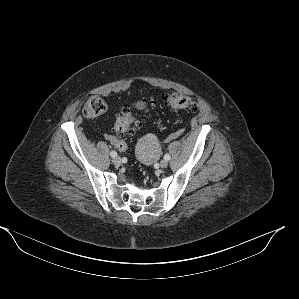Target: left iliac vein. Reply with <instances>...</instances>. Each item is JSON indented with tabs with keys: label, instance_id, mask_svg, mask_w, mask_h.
Segmentation results:
<instances>
[{
	"label": "left iliac vein",
	"instance_id": "1",
	"mask_svg": "<svg viewBox=\"0 0 299 299\" xmlns=\"http://www.w3.org/2000/svg\"><path fill=\"white\" fill-rule=\"evenodd\" d=\"M160 167L161 168H166L168 166V161L167 160H162L160 161Z\"/></svg>",
	"mask_w": 299,
	"mask_h": 299
}]
</instances>
